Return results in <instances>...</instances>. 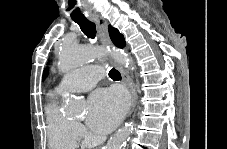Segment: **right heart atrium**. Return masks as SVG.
<instances>
[{
    "instance_id": "obj_1",
    "label": "right heart atrium",
    "mask_w": 227,
    "mask_h": 149,
    "mask_svg": "<svg viewBox=\"0 0 227 149\" xmlns=\"http://www.w3.org/2000/svg\"><path fill=\"white\" fill-rule=\"evenodd\" d=\"M77 131H78V134L80 135H82L84 132L83 128L80 125H77Z\"/></svg>"
}]
</instances>
